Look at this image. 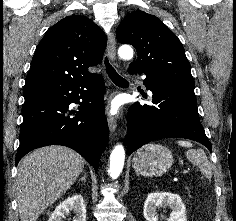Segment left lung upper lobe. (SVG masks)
<instances>
[{"mask_svg": "<svg viewBox=\"0 0 236 221\" xmlns=\"http://www.w3.org/2000/svg\"><path fill=\"white\" fill-rule=\"evenodd\" d=\"M116 36L120 43L131 44L137 51V60L130 64V68L194 88L185 50L177 36L159 18L134 11L122 20Z\"/></svg>", "mask_w": 236, "mask_h": 221, "instance_id": "5c2ea615", "label": "left lung upper lobe"}]
</instances>
